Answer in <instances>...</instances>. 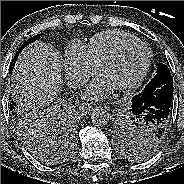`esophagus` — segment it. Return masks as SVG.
Returning a JSON list of instances; mask_svg holds the SVG:
<instances>
[{"label": "esophagus", "instance_id": "obj_1", "mask_svg": "<svg viewBox=\"0 0 184 184\" xmlns=\"http://www.w3.org/2000/svg\"><path fill=\"white\" fill-rule=\"evenodd\" d=\"M94 109V107L92 105L89 104H82L79 108V110L81 111L82 114H87L90 111H92Z\"/></svg>", "mask_w": 184, "mask_h": 184}]
</instances>
